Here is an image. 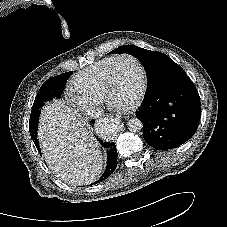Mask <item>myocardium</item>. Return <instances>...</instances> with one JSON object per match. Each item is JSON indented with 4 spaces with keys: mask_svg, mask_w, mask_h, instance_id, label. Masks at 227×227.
<instances>
[{
    "mask_svg": "<svg viewBox=\"0 0 227 227\" xmlns=\"http://www.w3.org/2000/svg\"><path fill=\"white\" fill-rule=\"evenodd\" d=\"M123 59H130L133 62H135L136 65L138 66V68L140 70V74H141V87H140V91H139L137 97L130 104H127L123 107V109H132V108L138 106L142 102V100L144 99V97L146 95L147 88H148V77H147L146 69H145L143 63L134 55L122 54V55H119L116 57V59L110 66V68L107 72V75H106L105 84H104V99L108 105H110L112 107H118V105L115 104L112 100V88H113V84H114V74H115L116 67H117L118 63L120 61H122Z\"/></svg>",
    "mask_w": 227,
    "mask_h": 227,
    "instance_id": "f54148a6",
    "label": "myocardium"
}]
</instances>
